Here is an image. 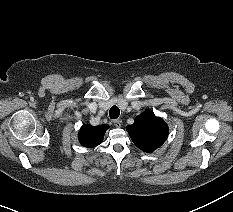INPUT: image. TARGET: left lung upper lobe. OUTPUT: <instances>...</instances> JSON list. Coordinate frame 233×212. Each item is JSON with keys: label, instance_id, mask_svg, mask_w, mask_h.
Listing matches in <instances>:
<instances>
[{"label": "left lung upper lobe", "instance_id": "obj_1", "mask_svg": "<svg viewBox=\"0 0 233 212\" xmlns=\"http://www.w3.org/2000/svg\"><path fill=\"white\" fill-rule=\"evenodd\" d=\"M127 131L134 144L145 152H152L160 147L168 136V126L151 110H145L136 117Z\"/></svg>", "mask_w": 233, "mask_h": 212}]
</instances>
